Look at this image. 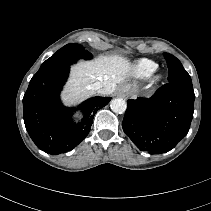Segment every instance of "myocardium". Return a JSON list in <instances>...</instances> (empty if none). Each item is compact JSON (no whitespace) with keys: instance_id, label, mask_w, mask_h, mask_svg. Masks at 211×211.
I'll list each match as a JSON object with an SVG mask.
<instances>
[{"instance_id":"obj_1","label":"myocardium","mask_w":211,"mask_h":211,"mask_svg":"<svg viewBox=\"0 0 211 211\" xmlns=\"http://www.w3.org/2000/svg\"><path fill=\"white\" fill-rule=\"evenodd\" d=\"M162 80V75L161 74H156L151 81V86H156L158 85Z\"/></svg>"}]
</instances>
